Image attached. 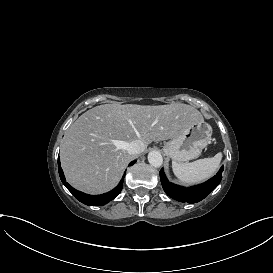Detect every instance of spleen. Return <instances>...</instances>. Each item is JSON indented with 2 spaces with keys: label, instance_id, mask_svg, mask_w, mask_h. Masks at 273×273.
Segmentation results:
<instances>
[{
  "label": "spleen",
  "instance_id": "1",
  "mask_svg": "<svg viewBox=\"0 0 273 273\" xmlns=\"http://www.w3.org/2000/svg\"><path fill=\"white\" fill-rule=\"evenodd\" d=\"M223 158V153L218 152L215 156L189 164H178L172 161V171L177 179L187 184H198L213 177Z\"/></svg>",
  "mask_w": 273,
  "mask_h": 273
}]
</instances>
